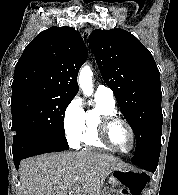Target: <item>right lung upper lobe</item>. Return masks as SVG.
Segmentation results:
<instances>
[{
    "mask_svg": "<svg viewBox=\"0 0 178 195\" xmlns=\"http://www.w3.org/2000/svg\"><path fill=\"white\" fill-rule=\"evenodd\" d=\"M88 56L78 31L72 27H51L29 45L15 66L12 96L47 93L75 97L77 75Z\"/></svg>",
    "mask_w": 178,
    "mask_h": 195,
    "instance_id": "right-lung-upper-lobe-1",
    "label": "right lung upper lobe"
}]
</instances>
